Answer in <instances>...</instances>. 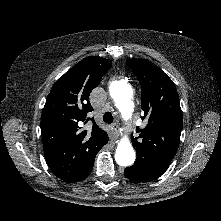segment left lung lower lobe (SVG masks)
Segmentation results:
<instances>
[{"label": "left lung lower lobe", "mask_w": 221, "mask_h": 221, "mask_svg": "<svg viewBox=\"0 0 221 221\" xmlns=\"http://www.w3.org/2000/svg\"><path fill=\"white\" fill-rule=\"evenodd\" d=\"M168 167L160 168H143L132 165L124 171V175L133 181L149 182L160 177Z\"/></svg>", "instance_id": "left-lung-lower-lobe-1"}]
</instances>
